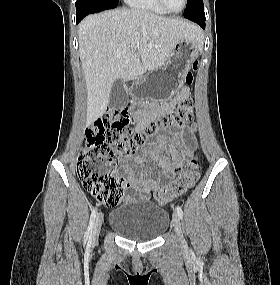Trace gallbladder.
<instances>
[{"instance_id":"1","label":"gallbladder","mask_w":280,"mask_h":285,"mask_svg":"<svg viewBox=\"0 0 280 285\" xmlns=\"http://www.w3.org/2000/svg\"><path fill=\"white\" fill-rule=\"evenodd\" d=\"M128 104V93L122 81L116 80L111 87L109 105L113 109H121Z\"/></svg>"}]
</instances>
